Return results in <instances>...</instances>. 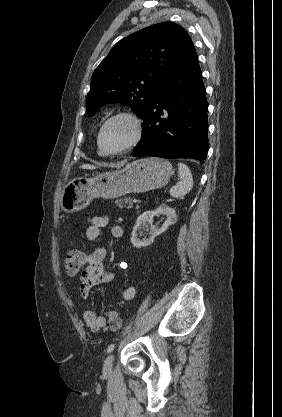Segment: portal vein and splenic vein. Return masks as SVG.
I'll use <instances>...</instances> for the list:
<instances>
[{
  "label": "portal vein and splenic vein",
  "mask_w": 282,
  "mask_h": 417,
  "mask_svg": "<svg viewBox=\"0 0 282 417\" xmlns=\"http://www.w3.org/2000/svg\"><path fill=\"white\" fill-rule=\"evenodd\" d=\"M133 202H134V203H137V202H138V199H137V198H134V199H133Z\"/></svg>",
  "instance_id": "18ae733b"
}]
</instances>
